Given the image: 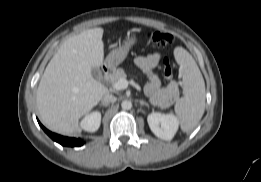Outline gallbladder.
I'll use <instances>...</instances> for the list:
<instances>
[{
	"label": "gallbladder",
	"mask_w": 261,
	"mask_h": 182,
	"mask_svg": "<svg viewBox=\"0 0 261 182\" xmlns=\"http://www.w3.org/2000/svg\"><path fill=\"white\" fill-rule=\"evenodd\" d=\"M92 76L96 79V80H100L101 79V71L98 68H93L92 69Z\"/></svg>",
	"instance_id": "obj_1"
}]
</instances>
